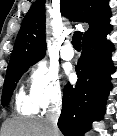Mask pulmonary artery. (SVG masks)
I'll return each mask as SVG.
<instances>
[{
	"mask_svg": "<svg viewBox=\"0 0 117 136\" xmlns=\"http://www.w3.org/2000/svg\"><path fill=\"white\" fill-rule=\"evenodd\" d=\"M74 50L70 41H65L61 48V57L65 60H71L74 57Z\"/></svg>",
	"mask_w": 117,
	"mask_h": 136,
	"instance_id": "obj_1",
	"label": "pulmonary artery"
}]
</instances>
